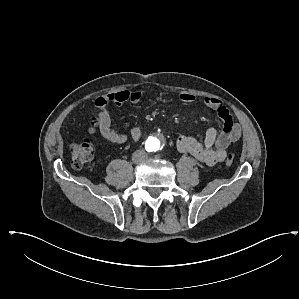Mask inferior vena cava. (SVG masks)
Masks as SVG:
<instances>
[{
  "instance_id": "602c4592",
  "label": "inferior vena cava",
  "mask_w": 299,
  "mask_h": 299,
  "mask_svg": "<svg viewBox=\"0 0 299 299\" xmlns=\"http://www.w3.org/2000/svg\"><path fill=\"white\" fill-rule=\"evenodd\" d=\"M145 151L143 150H137L136 152L133 153V160L134 162H141L145 158Z\"/></svg>"
}]
</instances>
